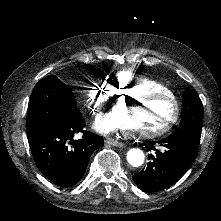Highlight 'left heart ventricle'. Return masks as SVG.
<instances>
[{
    "label": "left heart ventricle",
    "mask_w": 221,
    "mask_h": 221,
    "mask_svg": "<svg viewBox=\"0 0 221 221\" xmlns=\"http://www.w3.org/2000/svg\"><path fill=\"white\" fill-rule=\"evenodd\" d=\"M173 117L174 108L169 103L148 99L146 102L139 105L136 119L132 124V129L165 125Z\"/></svg>",
    "instance_id": "b2bd125f"
}]
</instances>
